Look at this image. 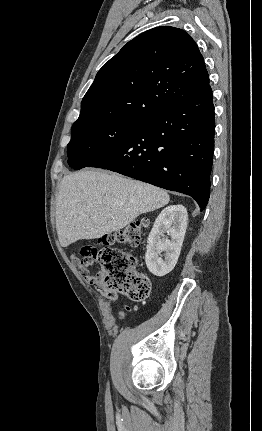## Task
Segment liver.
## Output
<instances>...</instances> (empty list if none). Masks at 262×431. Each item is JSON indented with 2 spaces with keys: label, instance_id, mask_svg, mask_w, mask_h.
Wrapping results in <instances>:
<instances>
[{
  "label": "liver",
  "instance_id": "obj_1",
  "mask_svg": "<svg viewBox=\"0 0 262 431\" xmlns=\"http://www.w3.org/2000/svg\"><path fill=\"white\" fill-rule=\"evenodd\" d=\"M168 193L116 173L83 170L64 176L56 203L60 244L97 239L118 231L140 214L167 205Z\"/></svg>",
  "mask_w": 262,
  "mask_h": 431
}]
</instances>
